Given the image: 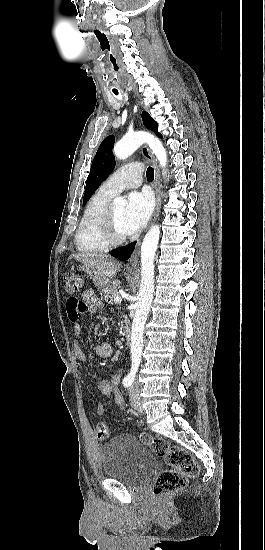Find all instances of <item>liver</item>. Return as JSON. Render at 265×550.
Wrapping results in <instances>:
<instances>
[{
  "label": "liver",
  "instance_id": "6515ba94",
  "mask_svg": "<svg viewBox=\"0 0 265 550\" xmlns=\"http://www.w3.org/2000/svg\"><path fill=\"white\" fill-rule=\"evenodd\" d=\"M70 258L81 262L98 277L107 281L115 277L121 266L119 262L112 260L105 254H78L71 255Z\"/></svg>",
  "mask_w": 265,
  "mask_h": 550
}]
</instances>
